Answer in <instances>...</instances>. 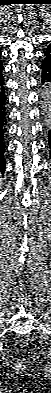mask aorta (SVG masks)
<instances>
[{
    "instance_id": "obj_1",
    "label": "aorta",
    "mask_w": 51,
    "mask_h": 393,
    "mask_svg": "<svg viewBox=\"0 0 51 393\" xmlns=\"http://www.w3.org/2000/svg\"><path fill=\"white\" fill-rule=\"evenodd\" d=\"M41 110L45 123L49 126L51 124V91L46 85L41 90Z\"/></svg>"
}]
</instances>
